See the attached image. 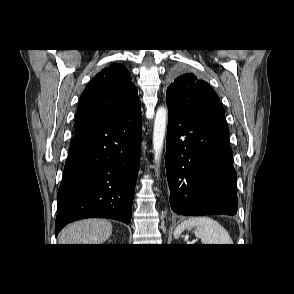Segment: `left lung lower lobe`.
<instances>
[{
	"instance_id": "1",
	"label": "left lung lower lobe",
	"mask_w": 294,
	"mask_h": 294,
	"mask_svg": "<svg viewBox=\"0 0 294 294\" xmlns=\"http://www.w3.org/2000/svg\"><path fill=\"white\" fill-rule=\"evenodd\" d=\"M166 173L171 209L184 216L237 212L236 172L223 117L193 118L168 105Z\"/></svg>"
}]
</instances>
